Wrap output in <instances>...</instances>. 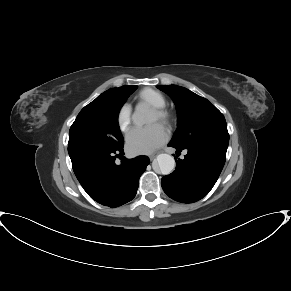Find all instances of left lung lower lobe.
Wrapping results in <instances>:
<instances>
[{"instance_id": "left-lung-lower-lobe-1", "label": "left lung lower lobe", "mask_w": 291, "mask_h": 291, "mask_svg": "<svg viewBox=\"0 0 291 291\" xmlns=\"http://www.w3.org/2000/svg\"><path fill=\"white\" fill-rule=\"evenodd\" d=\"M229 141H204L180 148L186 149L183 160L178 159L176 169L164 176L161 185L172 199L182 203H192L206 196L216 183L226 159Z\"/></svg>"}]
</instances>
